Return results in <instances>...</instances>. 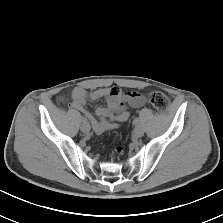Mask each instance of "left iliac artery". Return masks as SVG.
<instances>
[{
    "label": "left iliac artery",
    "instance_id": "44dca946",
    "mask_svg": "<svg viewBox=\"0 0 223 223\" xmlns=\"http://www.w3.org/2000/svg\"><path fill=\"white\" fill-rule=\"evenodd\" d=\"M133 124H134V125H139V124H140V120H139L138 118H135V119L133 120Z\"/></svg>",
    "mask_w": 223,
    "mask_h": 223
}]
</instances>
